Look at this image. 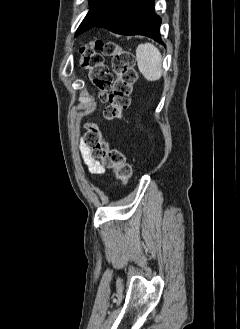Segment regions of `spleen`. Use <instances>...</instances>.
I'll use <instances>...</instances> for the list:
<instances>
[{"label": "spleen", "mask_w": 240, "mask_h": 329, "mask_svg": "<svg viewBox=\"0 0 240 329\" xmlns=\"http://www.w3.org/2000/svg\"><path fill=\"white\" fill-rule=\"evenodd\" d=\"M138 69L148 81H157L162 76V55L151 43L140 44L136 49Z\"/></svg>", "instance_id": "obj_1"}]
</instances>
